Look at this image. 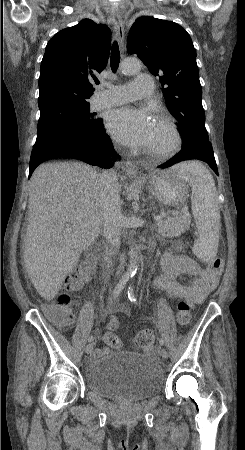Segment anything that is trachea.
<instances>
[{"instance_id":"trachea-1","label":"trachea","mask_w":245,"mask_h":450,"mask_svg":"<svg viewBox=\"0 0 245 450\" xmlns=\"http://www.w3.org/2000/svg\"><path fill=\"white\" fill-rule=\"evenodd\" d=\"M120 63V51L118 43L115 41L111 50V70L115 73Z\"/></svg>"}]
</instances>
